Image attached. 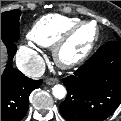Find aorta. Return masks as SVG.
<instances>
[{
  "instance_id": "aorta-1",
  "label": "aorta",
  "mask_w": 121,
  "mask_h": 121,
  "mask_svg": "<svg viewBox=\"0 0 121 121\" xmlns=\"http://www.w3.org/2000/svg\"><path fill=\"white\" fill-rule=\"evenodd\" d=\"M52 94L57 99H63L66 95V89L63 85L57 84L52 88Z\"/></svg>"
}]
</instances>
